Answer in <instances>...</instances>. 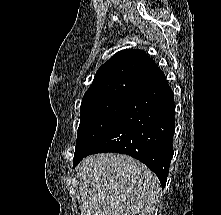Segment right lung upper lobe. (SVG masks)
<instances>
[{"label":"right lung upper lobe","mask_w":221,"mask_h":215,"mask_svg":"<svg viewBox=\"0 0 221 215\" xmlns=\"http://www.w3.org/2000/svg\"><path fill=\"white\" fill-rule=\"evenodd\" d=\"M163 79L162 70L144 51L121 50L98 69L82 103L115 97L133 99Z\"/></svg>","instance_id":"obj_1"}]
</instances>
